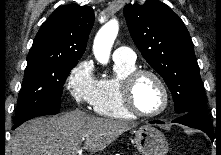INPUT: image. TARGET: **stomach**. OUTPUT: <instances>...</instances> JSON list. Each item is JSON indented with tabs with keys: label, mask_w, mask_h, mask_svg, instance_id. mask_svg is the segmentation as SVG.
<instances>
[{
	"label": "stomach",
	"mask_w": 221,
	"mask_h": 155,
	"mask_svg": "<svg viewBox=\"0 0 221 155\" xmlns=\"http://www.w3.org/2000/svg\"><path fill=\"white\" fill-rule=\"evenodd\" d=\"M134 141L140 155H166L169 151L164 134L152 126H141L135 131Z\"/></svg>",
	"instance_id": "0dacf381"
}]
</instances>
